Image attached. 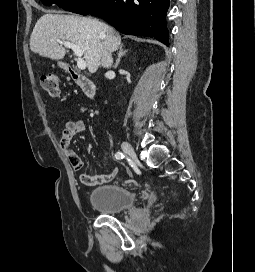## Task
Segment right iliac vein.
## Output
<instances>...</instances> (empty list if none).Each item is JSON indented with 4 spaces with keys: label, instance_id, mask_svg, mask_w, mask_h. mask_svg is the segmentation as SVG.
<instances>
[{
    "label": "right iliac vein",
    "instance_id": "right-iliac-vein-1",
    "mask_svg": "<svg viewBox=\"0 0 255 272\" xmlns=\"http://www.w3.org/2000/svg\"><path fill=\"white\" fill-rule=\"evenodd\" d=\"M121 147L125 154L130 156L132 159H136V153L134 151V148L129 142H123Z\"/></svg>",
    "mask_w": 255,
    "mask_h": 272
}]
</instances>
